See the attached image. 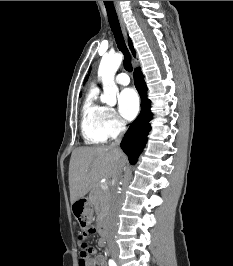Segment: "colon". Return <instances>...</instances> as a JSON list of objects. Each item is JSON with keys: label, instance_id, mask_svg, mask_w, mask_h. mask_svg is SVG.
I'll use <instances>...</instances> for the list:
<instances>
[{"label": "colon", "instance_id": "obj_1", "mask_svg": "<svg viewBox=\"0 0 233 266\" xmlns=\"http://www.w3.org/2000/svg\"><path fill=\"white\" fill-rule=\"evenodd\" d=\"M94 228H89L86 232H82L79 236V251H80V265L83 264L84 260L89 257L92 253V247L86 242V238L89 234L94 233Z\"/></svg>", "mask_w": 233, "mask_h": 266}]
</instances>
